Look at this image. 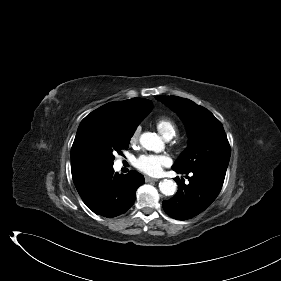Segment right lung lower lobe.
I'll return each mask as SVG.
<instances>
[{
	"mask_svg": "<svg viewBox=\"0 0 281 281\" xmlns=\"http://www.w3.org/2000/svg\"><path fill=\"white\" fill-rule=\"evenodd\" d=\"M144 177L132 170L126 175L114 173L113 166L101 168L74 181L83 202L96 214L115 217L126 212L135 201Z\"/></svg>",
	"mask_w": 281,
	"mask_h": 281,
	"instance_id": "obj_1",
	"label": "right lung lower lobe"
}]
</instances>
